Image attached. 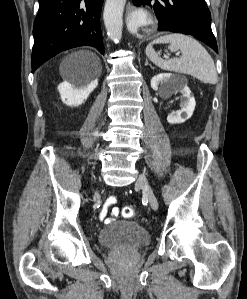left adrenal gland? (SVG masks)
Wrapping results in <instances>:
<instances>
[{
    "mask_svg": "<svg viewBox=\"0 0 247 299\" xmlns=\"http://www.w3.org/2000/svg\"><path fill=\"white\" fill-rule=\"evenodd\" d=\"M149 65L151 68H153L149 63H148V60L146 59V63H145V66Z\"/></svg>",
    "mask_w": 247,
    "mask_h": 299,
    "instance_id": "obj_1",
    "label": "left adrenal gland"
}]
</instances>
